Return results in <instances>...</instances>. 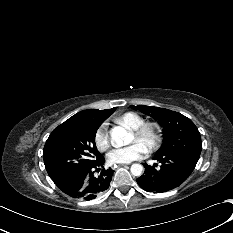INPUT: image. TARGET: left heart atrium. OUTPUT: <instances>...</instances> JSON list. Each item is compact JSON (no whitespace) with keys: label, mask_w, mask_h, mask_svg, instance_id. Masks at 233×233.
I'll list each match as a JSON object with an SVG mask.
<instances>
[{"label":"left heart atrium","mask_w":233,"mask_h":233,"mask_svg":"<svg viewBox=\"0 0 233 233\" xmlns=\"http://www.w3.org/2000/svg\"><path fill=\"white\" fill-rule=\"evenodd\" d=\"M147 153L146 148L139 142H133L129 146L117 148L109 153V160L113 163L125 164L141 158Z\"/></svg>","instance_id":"obj_1"}]
</instances>
